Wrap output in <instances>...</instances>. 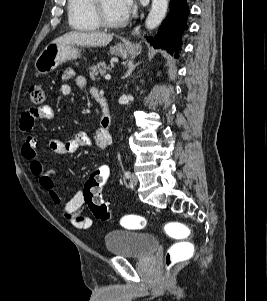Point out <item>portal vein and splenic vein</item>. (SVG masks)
Returning a JSON list of instances; mask_svg holds the SVG:
<instances>
[{"mask_svg": "<svg viewBox=\"0 0 267 301\" xmlns=\"http://www.w3.org/2000/svg\"><path fill=\"white\" fill-rule=\"evenodd\" d=\"M105 79H106V80H110V79H111V75H110V74H106V75H105Z\"/></svg>", "mask_w": 267, "mask_h": 301, "instance_id": "18ae733b", "label": "portal vein and splenic vein"}]
</instances>
